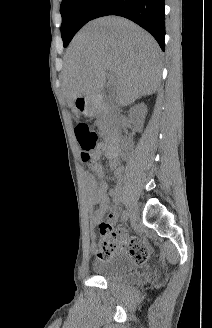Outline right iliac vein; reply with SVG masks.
I'll use <instances>...</instances> for the list:
<instances>
[{
	"mask_svg": "<svg viewBox=\"0 0 212 328\" xmlns=\"http://www.w3.org/2000/svg\"><path fill=\"white\" fill-rule=\"evenodd\" d=\"M129 216L132 221H135L137 218V209L133 204L129 206Z\"/></svg>",
	"mask_w": 212,
	"mask_h": 328,
	"instance_id": "right-iliac-vein-1",
	"label": "right iliac vein"
}]
</instances>
